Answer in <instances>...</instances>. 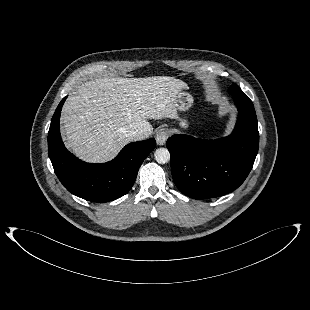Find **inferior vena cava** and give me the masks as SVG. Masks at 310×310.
Wrapping results in <instances>:
<instances>
[{"mask_svg": "<svg viewBox=\"0 0 310 310\" xmlns=\"http://www.w3.org/2000/svg\"><path fill=\"white\" fill-rule=\"evenodd\" d=\"M128 136L132 141L143 140L146 138L145 133H143L141 130H138V129L129 131Z\"/></svg>", "mask_w": 310, "mask_h": 310, "instance_id": "inferior-vena-cava-1", "label": "inferior vena cava"}]
</instances>
